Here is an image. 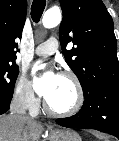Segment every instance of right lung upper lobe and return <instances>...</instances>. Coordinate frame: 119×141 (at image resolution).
Instances as JSON below:
<instances>
[{
    "label": "right lung upper lobe",
    "instance_id": "cb5924a9",
    "mask_svg": "<svg viewBox=\"0 0 119 141\" xmlns=\"http://www.w3.org/2000/svg\"><path fill=\"white\" fill-rule=\"evenodd\" d=\"M26 9V0H0V61L15 62Z\"/></svg>",
    "mask_w": 119,
    "mask_h": 141
}]
</instances>
